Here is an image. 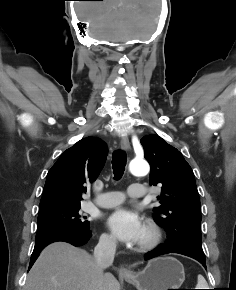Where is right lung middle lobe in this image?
<instances>
[{
    "label": "right lung middle lobe",
    "mask_w": 236,
    "mask_h": 290,
    "mask_svg": "<svg viewBox=\"0 0 236 290\" xmlns=\"http://www.w3.org/2000/svg\"><path fill=\"white\" fill-rule=\"evenodd\" d=\"M80 204L40 209L36 238L57 232L89 229V221L79 214Z\"/></svg>",
    "instance_id": "right-lung-middle-lobe-1"
}]
</instances>
